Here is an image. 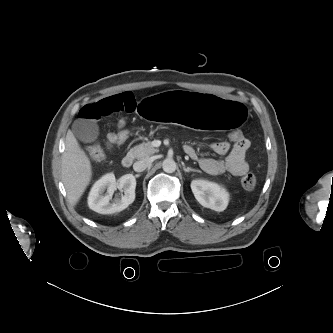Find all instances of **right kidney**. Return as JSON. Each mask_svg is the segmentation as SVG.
<instances>
[{
    "label": "right kidney",
    "instance_id": "obj_1",
    "mask_svg": "<svg viewBox=\"0 0 333 333\" xmlns=\"http://www.w3.org/2000/svg\"><path fill=\"white\" fill-rule=\"evenodd\" d=\"M115 183L116 179L112 173L106 174L96 181L88 196L89 208L101 214H113L126 209L133 203L136 188L135 177L132 174H126L119 179L118 188L124 192V196L111 202L116 188ZM105 189H107L106 194H104Z\"/></svg>",
    "mask_w": 333,
    "mask_h": 333
}]
</instances>
